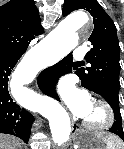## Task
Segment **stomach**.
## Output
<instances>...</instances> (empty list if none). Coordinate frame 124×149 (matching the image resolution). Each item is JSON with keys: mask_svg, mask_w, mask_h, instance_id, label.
<instances>
[{"mask_svg": "<svg viewBox=\"0 0 124 149\" xmlns=\"http://www.w3.org/2000/svg\"><path fill=\"white\" fill-rule=\"evenodd\" d=\"M106 139L114 140V136L109 134H93L87 131L79 130L74 135L75 144L80 149H103L107 144Z\"/></svg>", "mask_w": 124, "mask_h": 149, "instance_id": "0dacf381", "label": "stomach"}]
</instances>
